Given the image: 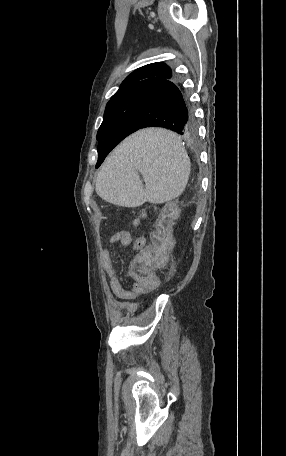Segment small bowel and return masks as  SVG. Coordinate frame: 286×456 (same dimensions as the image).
Listing matches in <instances>:
<instances>
[{
	"mask_svg": "<svg viewBox=\"0 0 286 456\" xmlns=\"http://www.w3.org/2000/svg\"><path fill=\"white\" fill-rule=\"evenodd\" d=\"M114 236L116 237L114 238ZM145 242L146 240L144 237H137L133 240L132 236L128 232H119L111 237V243H120L125 247L131 246L134 250H138L143 247L145 245ZM101 261L109 277L111 290L119 300L124 302H133L137 299L138 294L145 293V291H138L135 289L134 285L130 290L123 287L113 265L110 249H103L101 253Z\"/></svg>",
	"mask_w": 286,
	"mask_h": 456,
	"instance_id": "obj_1",
	"label": "small bowel"
}]
</instances>
